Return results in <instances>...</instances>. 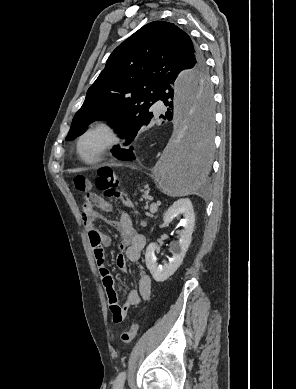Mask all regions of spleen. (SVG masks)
<instances>
[{
  "label": "spleen",
  "instance_id": "1",
  "mask_svg": "<svg viewBox=\"0 0 296 389\" xmlns=\"http://www.w3.org/2000/svg\"><path fill=\"white\" fill-rule=\"evenodd\" d=\"M195 180H196V179L193 178V188H194V186H195V182H194Z\"/></svg>",
  "mask_w": 296,
  "mask_h": 389
}]
</instances>
